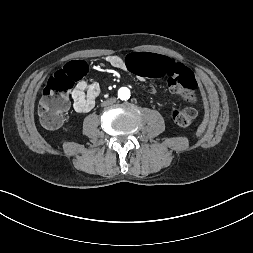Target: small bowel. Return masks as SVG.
Here are the masks:
<instances>
[{"instance_id":"c3829d8e","label":"small bowel","mask_w":253,"mask_h":253,"mask_svg":"<svg viewBox=\"0 0 253 253\" xmlns=\"http://www.w3.org/2000/svg\"><path fill=\"white\" fill-rule=\"evenodd\" d=\"M128 57L129 55L126 58H123L118 55H109L105 58V62L112 68L120 70H129V68L127 67ZM99 94L100 87L98 84L88 85L86 81H80L71 93L74 109L79 113L89 112L94 107Z\"/></svg>"}]
</instances>
